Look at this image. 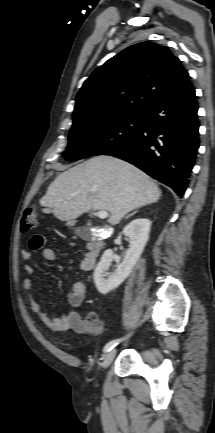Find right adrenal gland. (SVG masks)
I'll return each instance as SVG.
<instances>
[{
	"label": "right adrenal gland",
	"mask_w": 215,
	"mask_h": 433,
	"mask_svg": "<svg viewBox=\"0 0 215 433\" xmlns=\"http://www.w3.org/2000/svg\"><path fill=\"white\" fill-rule=\"evenodd\" d=\"M136 212H137V211L133 212L132 214L128 215L126 218H128V217L134 215Z\"/></svg>",
	"instance_id": "obj_1"
}]
</instances>
